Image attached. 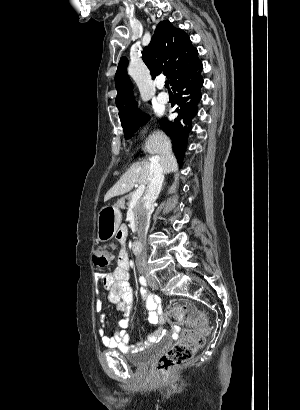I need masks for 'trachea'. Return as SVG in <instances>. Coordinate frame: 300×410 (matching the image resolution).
I'll return each mask as SVG.
<instances>
[{
	"label": "trachea",
	"mask_w": 300,
	"mask_h": 410,
	"mask_svg": "<svg viewBox=\"0 0 300 410\" xmlns=\"http://www.w3.org/2000/svg\"><path fill=\"white\" fill-rule=\"evenodd\" d=\"M165 87H166L167 89H169V81H168V80L165 81Z\"/></svg>",
	"instance_id": "obj_1"
}]
</instances>
